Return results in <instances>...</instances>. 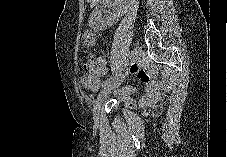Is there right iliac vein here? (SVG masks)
<instances>
[{
	"mask_svg": "<svg viewBox=\"0 0 227 157\" xmlns=\"http://www.w3.org/2000/svg\"><path fill=\"white\" fill-rule=\"evenodd\" d=\"M138 56H139V49L134 48L133 51L131 52L130 60L134 62L137 60ZM126 75H127V72H120V74H118L106 87H104V89L97 96L93 105L94 120H98L100 108L103 101L113 90H115L122 84Z\"/></svg>",
	"mask_w": 227,
	"mask_h": 157,
	"instance_id": "right-iliac-vein-1",
	"label": "right iliac vein"
}]
</instances>
